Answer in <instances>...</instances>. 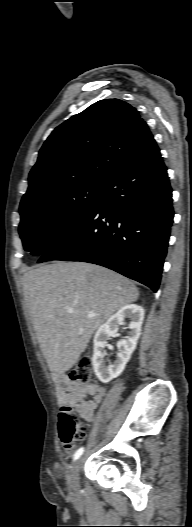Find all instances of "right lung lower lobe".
<instances>
[{
    "mask_svg": "<svg viewBox=\"0 0 192 527\" xmlns=\"http://www.w3.org/2000/svg\"><path fill=\"white\" fill-rule=\"evenodd\" d=\"M173 216L167 168L153 140L105 184L82 221L38 262L98 264L156 292Z\"/></svg>",
    "mask_w": 192,
    "mask_h": 527,
    "instance_id": "right-lung-lower-lobe-1",
    "label": "right lung lower lobe"
}]
</instances>
